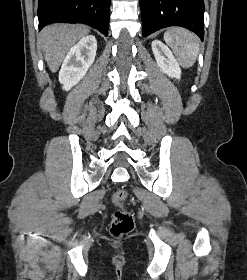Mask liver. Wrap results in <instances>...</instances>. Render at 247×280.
Here are the masks:
<instances>
[{
  "label": "liver",
  "mask_w": 247,
  "mask_h": 280,
  "mask_svg": "<svg viewBox=\"0 0 247 280\" xmlns=\"http://www.w3.org/2000/svg\"><path fill=\"white\" fill-rule=\"evenodd\" d=\"M88 32L86 26L72 24H52L42 29L39 45L52 72L59 69L65 55Z\"/></svg>",
  "instance_id": "6515ba94"
}]
</instances>
